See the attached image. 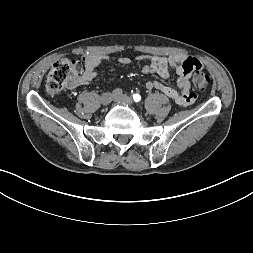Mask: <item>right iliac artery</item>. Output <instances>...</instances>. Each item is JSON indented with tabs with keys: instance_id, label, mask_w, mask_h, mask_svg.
I'll list each match as a JSON object with an SVG mask.
<instances>
[{
	"instance_id": "1",
	"label": "right iliac artery",
	"mask_w": 253,
	"mask_h": 253,
	"mask_svg": "<svg viewBox=\"0 0 253 253\" xmlns=\"http://www.w3.org/2000/svg\"><path fill=\"white\" fill-rule=\"evenodd\" d=\"M113 96H120L122 95V89L116 88L112 91Z\"/></svg>"
}]
</instances>
